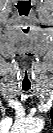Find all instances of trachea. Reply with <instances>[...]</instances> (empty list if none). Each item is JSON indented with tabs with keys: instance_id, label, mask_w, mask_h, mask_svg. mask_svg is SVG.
Returning <instances> with one entry per match:
<instances>
[{
	"instance_id": "3493384b",
	"label": "trachea",
	"mask_w": 53,
	"mask_h": 133,
	"mask_svg": "<svg viewBox=\"0 0 53 133\" xmlns=\"http://www.w3.org/2000/svg\"><path fill=\"white\" fill-rule=\"evenodd\" d=\"M23 90H24V91H27V90H28V88H23Z\"/></svg>"
}]
</instances>
